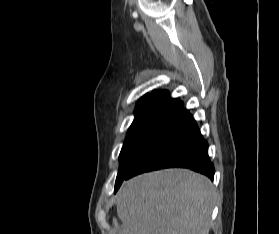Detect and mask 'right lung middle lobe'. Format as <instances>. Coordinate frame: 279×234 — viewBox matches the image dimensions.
<instances>
[{
	"label": "right lung middle lobe",
	"instance_id": "1",
	"mask_svg": "<svg viewBox=\"0 0 279 234\" xmlns=\"http://www.w3.org/2000/svg\"><path fill=\"white\" fill-rule=\"evenodd\" d=\"M171 110L172 108L167 107L135 112V119L128 130L119 156L120 167L116 178L115 192L123 182L137 153Z\"/></svg>",
	"mask_w": 279,
	"mask_h": 234
}]
</instances>
